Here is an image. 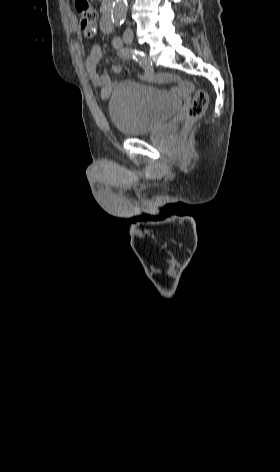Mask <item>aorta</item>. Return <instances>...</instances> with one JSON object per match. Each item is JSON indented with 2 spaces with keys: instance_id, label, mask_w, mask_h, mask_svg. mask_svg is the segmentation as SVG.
I'll return each instance as SVG.
<instances>
[{
  "instance_id": "obj_1",
  "label": "aorta",
  "mask_w": 280,
  "mask_h": 472,
  "mask_svg": "<svg viewBox=\"0 0 280 472\" xmlns=\"http://www.w3.org/2000/svg\"><path fill=\"white\" fill-rule=\"evenodd\" d=\"M127 0H115L111 10V18L115 25H119L126 17Z\"/></svg>"
}]
</instances>
